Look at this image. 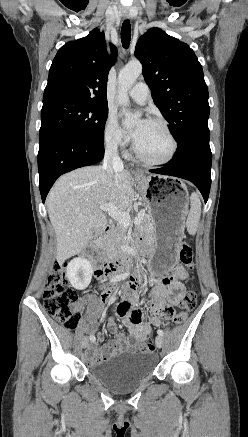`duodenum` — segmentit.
I'll return each instance as SVG.
<instances>
[{
	"label": "duodenum",
	"instance_id": "obj_1",
	"mask_svg": "<svg viewBox=\"0 0 248 437\" xmlns=\"http://www.w3.org/2000/svg\"><path fill=\"white\" fill-rule=\"evenodd\" d=\"M111 231V226L108 224L104 227L102 235L91 246L88 256L97 265L95 275L97 277L110 276L118 273L125 268L130 260L131 252L121 258L111 259L105 256L103 252V239Z\"/></svg>",
	"mask_w": 248,
	"mask_h": 437
}]
</instances>
